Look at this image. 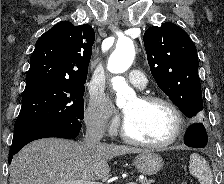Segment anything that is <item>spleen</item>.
I'll use <instances>...</instances> for the list:
<instances>
[{"instance_id": "3e777b00", "label": "spleen", "mask_w": 224, "mask_h": 184, "mask_svg": "<svg viewBox=\"0 0 224 184\" xmlns=\"http://www.w3.org/2000/svg\"><path fill=\"white\" fill-rule=\"evenodd\" d=\"M189 171L200 184H213V176L207 161L197 153L190 156Z\"/></svg>"}]
</instances>
